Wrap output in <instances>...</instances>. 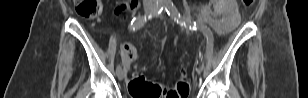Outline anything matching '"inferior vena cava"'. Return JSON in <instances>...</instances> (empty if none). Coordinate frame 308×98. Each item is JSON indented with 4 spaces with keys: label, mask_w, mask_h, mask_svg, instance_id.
<instances>
[{
    "label": "inferior vena cava",
    "mask_w": 308,
    "mask_h": 98,
    "mask_svg": "<svg viewBox=\"0 0 308 98\" xmlns=\"http://www.w3.org/2000/svg\"><path fill=\"white\" fill-rule=\"evenodd\" d=\"M151 1L155 3V0H151Z\"/></svg>",
    "instance_id": "1"
}]
</instances>
